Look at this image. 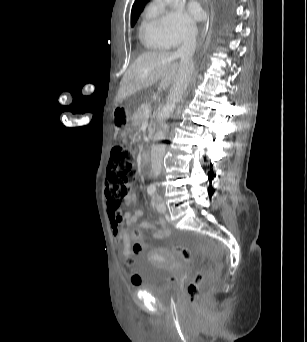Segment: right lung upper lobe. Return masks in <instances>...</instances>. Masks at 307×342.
<instances>
[{
    "label": "right lung upper lobe",
    "mask_w": 307,
    "mask_h": 342,
    "mask_svg": "<svg viewBox=\"0 0 307 342\" xmlns=\"http://www.w3.org/2000/svg\"><path fill=\"white\" fill-rule=\"evenodd\" d=\"M149 0H135L133 7H132V15H131V25L133 26L136 23L141 11L144 8V5ZM225 2H218L217 5V19H221L223 15V7L225 6Z\"/></svg>",
    "instance_id": "1"
}]
</instances>
